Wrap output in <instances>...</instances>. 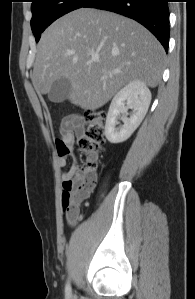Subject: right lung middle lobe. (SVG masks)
Returning <instances> with one entry per match:
<instances>
[{
  "mask_svg": "<svg viewBox=\"0 0 195 299\" xmlns=\"http://www.w3.org/2000/svg\"><path fill=\"white\" fill-rule=\"evenodd\" d=\"M89 0H33L31 5V28L39 41L41 32L53 21L75 9L83 7Z\"/></svg>",
  "mask_w": 195,
  "mask_h": 299,
  "instance_id": "right-lung-middle-lobe-1",
  "label": "right lung middle lobe"
}]
</instances>
